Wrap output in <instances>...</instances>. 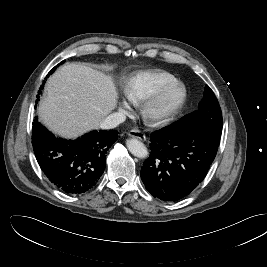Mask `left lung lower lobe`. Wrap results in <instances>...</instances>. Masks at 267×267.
<instances>
[{
    "label": "left lung lower lobe",
    "instance_id": "left-lung-lower-lobe-1",
    "mask_svg": "<svg viewBox=\"0 0 267 267\" xmlns=\"http://www.w3.org/2000/svg\"><path fill=\"white\" fill-rule=\"evenodd\" d=\"M220 137L203 124L182 120L153 132L141 169L146 189L164 201L189 195L206 176Z\"/></svg>",
    "mask_w": 267,
    "mask_h": 267
}]
</instances>
